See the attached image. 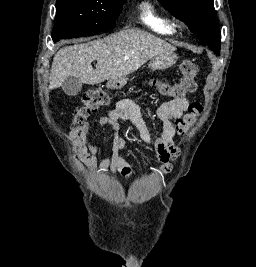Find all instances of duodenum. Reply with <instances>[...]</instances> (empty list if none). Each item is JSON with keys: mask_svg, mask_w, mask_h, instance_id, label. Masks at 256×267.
Here are the masks:
<instances>
[{"mask_svg": "<svg viewBox=\"0 0 256 267\" xmlns=\"http://www.w3.org/2000/svg\"><path fill=\"white\" fill-rule=\"evenodd\" d=\"M129 82V77H116L111 78L109 83H105V88L107 90H116V88H121V86H127Z\"/></svg>", "mask_w": 256, "mask_h": 267, "instance_id": "obj_1", "label": "duodenum"}]
</instances>
